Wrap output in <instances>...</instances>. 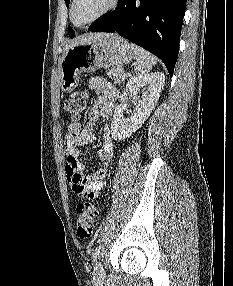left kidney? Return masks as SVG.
I'll list each match as a JSON object with an SVG mask.
<instances>
[{"label":"left kidney","mask_w":233,"mask_h":286,"mask_svg":"<svg viewBox=\"0 0 233 286\" xmlns=\"http://www.w3.org/2000/svg\"><path fill=\"white\" fill-rule=\"evenodd\" d=\"M164 83L165 76L160 72L137 75L127 82L126 91L132 97L135 108L126 118L124 111L127 109L128 95L120 96V105L115 108L111 123V135L115 140L130 137L142 126L157 104Z\"/></svg>","instance_id":"5707ae66"}]
</instances>
